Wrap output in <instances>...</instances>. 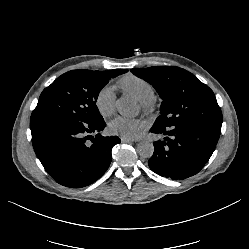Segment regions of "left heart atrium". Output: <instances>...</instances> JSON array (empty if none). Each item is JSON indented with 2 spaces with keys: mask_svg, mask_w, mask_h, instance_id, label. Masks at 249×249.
<instances>
[{
  "mask_svg": "<svg viewBox=\"0 0 249 249\" xmlns=\"http://www.w3.org/2000/svg\"><path fill=\"white\" fill-rule=\"evenodd\" d=\"M144 123L139 118L118 115L109 122V131L122 137L135 138L143 129Z\"/></svg>",
  "mask_w": 249,
  "mask_h": 249,
  "instance_id": "1",
  "label": "left heart atrium"
}]
</instances>
